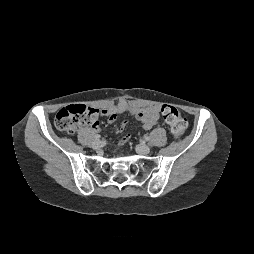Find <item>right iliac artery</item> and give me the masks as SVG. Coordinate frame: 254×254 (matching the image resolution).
I'll return each instance as SVG.
<instances>
[{"label":"right iliac artery","mask_w":254,"mask_h":254,"mask_svg":"<svg viewBox=\"0 0 254 254\" xmlns=\"http://www.w3.org/2000/svg\"><path fill=\"white\" fill-rule=\"evenodd\" d=\"M95 138H96V140H99L101 138V136L100 135H96Z\"/></svg>","instance_id":"1"}]
</instances>
